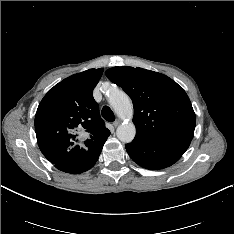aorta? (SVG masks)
Returning a JSON list of instances; mask_svg holds the SVG:
<instances>
[{
	"instance_id": "762f6f07",
	"label": "aorta",
	"mask_w": 234,
	"mask_h": 234,
	"mask_svg": "<svg viewBox=\"0 0 234 234\" xmlns=\"http://www.w3.org/2000/svg\"><path fill=\"white\" fill-rule=\"evenodd\" d=\"M108 101L117 116L124 120L117 128L118 139L123 143H130L136 134V128L131 121L133 117V106L129 96L117 88L111 89Z\"/></svg>"
}]
</instances>
